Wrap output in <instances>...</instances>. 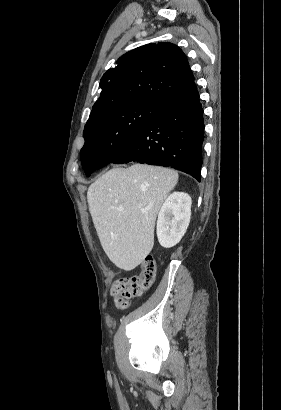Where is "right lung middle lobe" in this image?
<instances>
[{"instance_id":"dd1d6c3e","label":"right lung middle lobe","mask_w":281,"mask_h":410,"mask_svg":"<svg viewBox=\"0 0 281 410\" xmlns=\"http://www.w3.org/2000/svg\"><path fill=\"white\" fill-rule=\"evenodd\" d=\"M158 107L131 104L105 108L92 115L84 128L81 162L87 176L112 163L138 137Z\"/></svg>"}]
</instances>
